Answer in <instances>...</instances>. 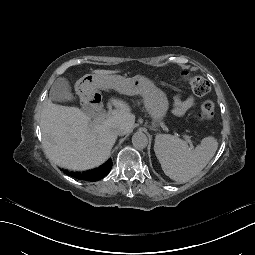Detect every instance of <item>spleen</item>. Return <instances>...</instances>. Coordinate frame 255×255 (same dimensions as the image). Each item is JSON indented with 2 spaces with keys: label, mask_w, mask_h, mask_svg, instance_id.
I'll list each match as a JSON object with an SVG mask.
<instances>
[{
  "label": "spleen",
  "mask_w": 255,
  "mask_h": 255,
  "mask_svg": "<svg viewBox=\"0 0 255 255\" xmlns=\"http://www.w3.org/2000/svg\"><path fill=\"white\" fill-rule=\"evenodd\" d=\"M218 148L214 137H205L196 148L169 134L155 138L154 151L165 175L172 180L185 183L196 176L212 159Z\"/></svg>",
  "instance_id": "spleen-1"
}]
</instances>
